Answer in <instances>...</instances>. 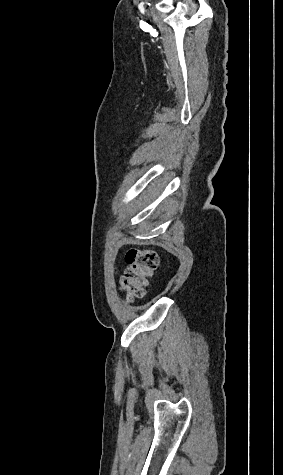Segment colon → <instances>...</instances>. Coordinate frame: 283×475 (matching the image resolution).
<instances>
[{"mask_svg":"<svg viewBox=\"0 0 283 475\" xmlns=\"http://www.w3.org/2000/svg\"><path fill=\"white\" fill-rule=\"evenodd\" d=\"M130 268L120 277V287L128 293L131 303L145 294V287L159 267L157 252L150 247L136 248L127 254Z\"/></svg>","mask_w":283,"mask_h":475,"instance_id":"5ec220e1","label":"colon"}]
</instances>
